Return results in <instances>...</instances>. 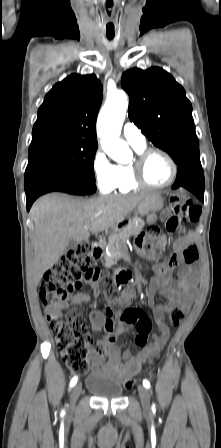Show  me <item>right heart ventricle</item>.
<instances>
[{"label": "right heart ventricle", "mask_w": 221, "mask_h": 448, "mask_svg": "<svg viewBox=\"0 0 221 448\" xmlns=\"http://www.w3.org/2000/svg\"><path fill=\"white\" fill-rule=\"evenodd\" d=\"M137 153L145 149L144 147L137 148L134 147ZM141 186L138 185L133 179V172L131 164H122L118 166V179L115 185V190L119 193H128L139 189Z\"/></svg>", "instance_id": "1"}]
</instances>
